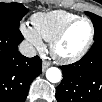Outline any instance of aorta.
I'll list each match as a JSON object with an SVG mask.
<instances>
[{"label": "aorta", "instance_id": "1", "mask_svg": "<svg viewBox=\"0 0 102 102\" xmlns=\"http://www.w3.org/2000/svg\"><path fill=\"white\" fill-rule=\"evenodd\" d=\"M46 78L48 81H50L52 83H58L62 79V73H61L60 69H58L56 67H50L46 71Z\"/></svg>", "mask_w": 102, "mask_h": 102}]
</instances>
